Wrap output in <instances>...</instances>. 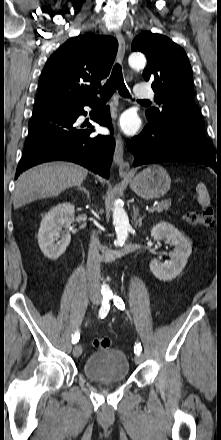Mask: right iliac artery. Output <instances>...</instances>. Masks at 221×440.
I'll return each mask as SVG.
<instances>
[{"instance_id":"1","label":"right iliac artery","mask_w":221,"mask_h":440,"mask_svg":"<svg viewBox=\"0 0 221 440\" xmlns=\"http://www.w3.org/2000/svg\"><path fill=\"white\" fill-rule=\"evenodd\" d=\"M109 299H110L109 297H105L102 301V305L98 314L100 318H104L109 312L110 309ZM79 338H80L79 332H76L72 337V343L73 344L77 343L79 341Z\"/></svg>"}]
</instances>
